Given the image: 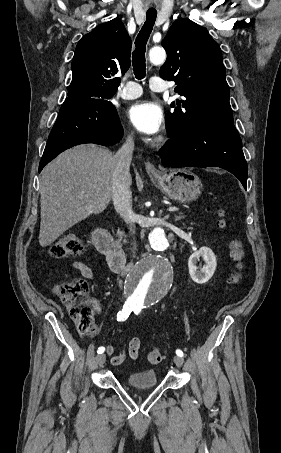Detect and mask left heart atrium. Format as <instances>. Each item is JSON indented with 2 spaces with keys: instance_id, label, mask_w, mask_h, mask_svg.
I'll return each instance as SVG.
<instances>
[{
  "instance_id": "1",
  "label": "left heart atrium",
  "mask_w": 281,
  "mask_h": 453,
  "mask_svg": "<svg viewBox=\"0 0 281 453\" xmlns=\"http://www.w3.org/2000/svg\"><path fill=\"white\" fill-rule=\"evenodd\" d=\"M127 118L131 124L140 132L155 135L164 122V115L161 108L150 101H139L127 110Z\"/></svg>"
}]
</instances>
